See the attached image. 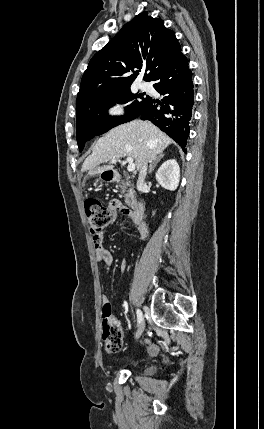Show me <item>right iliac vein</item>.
<instances>
[{
  "label": "right iliac vein",
  "mask_w": 264,
  "mask_h": 429,
  "mask_svg": "<svg viewBox=\"0 0 264 429\" xmlns=\"http://www.w3.org/2000/svg\"><path fill=\"white\" fill-rule=\"evenodd\" d=\"M144 329H145V323H144V320H142L135 334V339H139L141 337Z\"/></svg>",
  "instance_id": "right-iliac-vein-1"
}]
</instances>
